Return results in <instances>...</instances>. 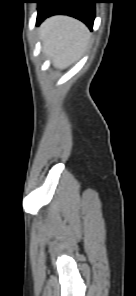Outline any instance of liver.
I'll return each mask as SVG.
<instances>
[{"label": "liver", "instance_id": "liver-1", "mask_svg": "<svg viewBox=\"0 0 136 296\" xmlns=\"http://www.w3.org/2000/svg\"><path fill=\"white\" fill-rule=\"evenodd\" d=\"M39 32L45 55L58 69H65L74 63L85 51L90 38L83 23L63 15L45 20Z\"/></svg>", "mask_w": 136, "mask_h": 296}]
</instances>
